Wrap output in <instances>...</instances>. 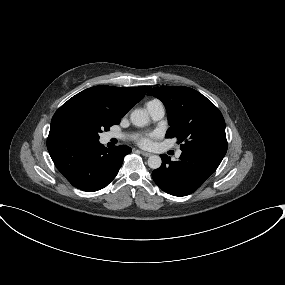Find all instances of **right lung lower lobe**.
<instances>
[{
	"mask_svg": "<svg viewBox=\"0 0 285 285\" xmlns=\"http://www.w3.org/2000/svg\"><path fill=\"white\" fill-rule=\"evenodd\" d=\"M49 154L61 174L76 188L94 192L106 187L117 175L131 148L107 149L61 127L50 128Z\"/></svg>",
	"mask_w": 285,
	"mask_h": 285,
	"instance_id": "1",
	"label": "right lung lower lobe"
}]
</instances>
